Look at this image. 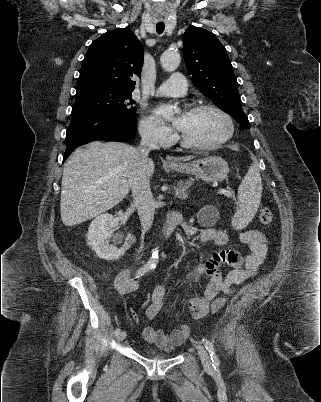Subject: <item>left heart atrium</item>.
I'll list each match as a JSON object with an SVG mask.
<instances>
[{
  "instance_id": "39dd6f15",
  "label": "left heart atrium",
  "mask_w": 321,
  "mask_h": 402,
  "mask_svg": "<svg viewBox=\"0 0 321 402\" xmlns=\"http://www.w3.org/2000/svg\"><path fill=\"white\" fill-rule=\"evenodd\" d=\"M172 112V108L170 105L167 104H163L158 106L157 108H155L154 110V116L157 120H162L163 118H165L166 116L170 115ZM185 116L186 113H182L181 115H179L175 121V126L178 129H182L183 124H184V120H185Z\"/></svg>"
}]
</instances>
